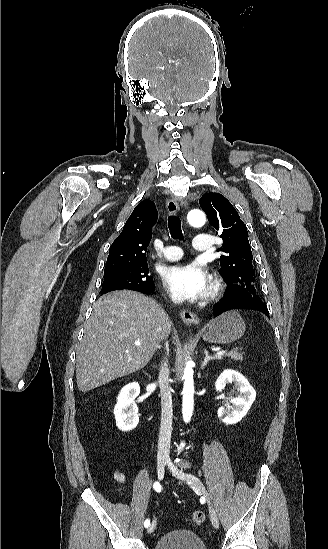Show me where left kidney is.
Masks as SVG:
<instances>
[{
  "label": "left kidney",
  "instance_id": "5707ae66",
  "mask_svg": "<svg viewBox=\"0 0 328 549\" xmlns=\"http://www.w3.org/2000/svg\"><path fill=\"white\" fill-rule=\"evenodd\" d=\"M227 383H234L235 387H238L237 391L240 395L231 399L224 407H219L217 415L226 425H235V423L241 421L242 417L247 415L253 401H255L256 391L241 373L232 371V369H226L218 377L215 383L216 391H223Z\"/></svg>",
  "mask_w": 328,
  "mask_h": 549
}]
</instances>
